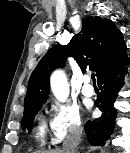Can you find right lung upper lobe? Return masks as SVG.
I'll use <instances>...</instances> for the list:
<instances>
[{"label":"right lung upper lobe","mask_w":130,"mask_h":153,"mask_svg":"<svg viewBox=\"0 0 130 153\" xmlns=\"http://www.w3.org/2000/svg\"><path fill=\"white\" fill-rule=\"evenodd\" d=\"M122 33L109 19L98 16L84 18L81 31L67 46L54 45L39 61L30 76L24 100V110L46 101L51 72L63 67L67 56H72L81 70L96 72L97 78L126 56Z\"/></svg>","instance_id":"obj_1"}]
</instances>
